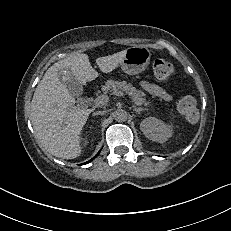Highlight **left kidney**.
<instances>
[{"mask_svg": "<svg viewBox=\"0 0 231 231\" xmlns=\"http://www.w3.org/2000/svg\"><path fill=\"white\" fill-rule=\"evenodd\" d=\"M140 129L150 140L164 143L173 134L172 127L155 117H148L142 120Z\"/></svg>", "mask_w": 231, "mask_h": 231, "instance_id": "left-kidney-1", "label": "left kidney"}]
</instances>
